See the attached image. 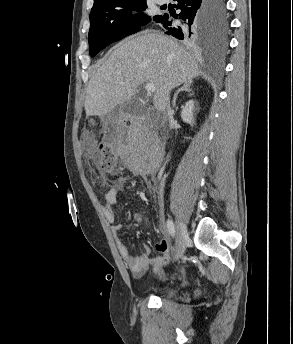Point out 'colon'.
<instances>
[{
	"mask_svg": "<svg viewBox=\"0 0 293 344\" xmlns=\"http://www.w3.org/2000/svg\"><path fill=\"white\" fill-rule=\"evenodd\" d=\"M89 138V134H84ZM98 166L106 174L117 175L118 165L114 156L113 148L110 143H103L98 150Z\"/></svg>",
	"mask_w": 293,
	"mask_h": 344,
	"instance_id": "obj_1",
	"label": "colon"
}]
</instances>
